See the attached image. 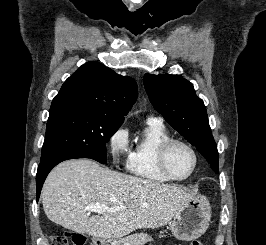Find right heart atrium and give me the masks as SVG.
<instances>
[{
	"label": "right heart atrium",
	"mask_w": 266,
	"mask_h": 245,
	"mask_svg": "<svg viewBox=\"0 0 266 245\" xmlns=\"http://www.w3.org/2000/svg\"><path fill=\"white\" fill-rule=\"evenodd\" d=\"M107 151L112 164L129 158L131 147L127 128L119 126L110 133L107 138Z\"/></svg>",
	"instance_id": "right-heart-atrium-1"
}]
</instances>
